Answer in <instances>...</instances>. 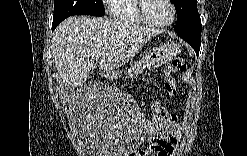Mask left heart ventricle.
Here are the masks:
<instances>
[{"label":"left heart ventricle","instance_id":"obj_1","mask_svg":"<svg viewBox=\"0 0 247 156\" xmlns=\"http://www.w3.org/2000/svg\"><path fill=\"white\" fill-rule=\"evenodd\" d=\"M145 13L152 21L163 23L170 19L171 10L165 0L147 1Z\"/></svg>","mask_w":247,"mask_h":156}]
</instances>
